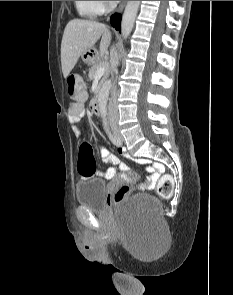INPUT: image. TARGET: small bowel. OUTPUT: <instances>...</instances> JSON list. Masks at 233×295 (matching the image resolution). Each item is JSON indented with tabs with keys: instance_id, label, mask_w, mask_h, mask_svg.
<instances>
[{
	"instance_id": "1",
	"label": "small bowel",
	"mask_w": 233,
	"mask_h": 295,
	"mask_svg": "<svg viewBox=\"0 0 233 295\" xmlns=\"http://www.w3.org/2000/svg\"><path fill=\"white\" fill-rule=\"evenodd\" d=\"M83 101L84 100L74 103L69 111V121L73 126L75 133H77V124L85 116ZM118 150L121 154L125 153L123 148H119ZM100 154L103 162L108 165L105 170L99 172V174L105 179L110 180L114 178L118 171H129V167L125 163H122L118 157L111 154L104 146H100ZM138 162L147 165L149 177L146 182V187L151 189L155 185L160 174L163 172V165L159 162H151L147 159H139Z\"/></svg>"
}]
</instances>
